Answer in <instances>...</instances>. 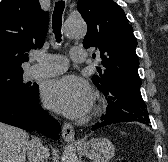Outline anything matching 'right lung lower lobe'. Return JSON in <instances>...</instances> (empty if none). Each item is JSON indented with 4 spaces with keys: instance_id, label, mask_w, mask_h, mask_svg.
Masks as SVG:
<instances>
[{
    "instance_id": "1",
    "label": "right lung lower lobe",
    "mask_w": 168,
    "mask_h": 162,
    "mask_svg": "<svg viewBox=\"0 0 168 162\" xmlns=\"http://www.w3.org/2000/svg\"><path fill=\"white\" fill-rule=\"evenodd\" d=\"M0 122L24 130H37L53 139L59 137V124L39 105L38 85H35V90L28 96L0 94Z\"/></svg>"
}]
</instances>
